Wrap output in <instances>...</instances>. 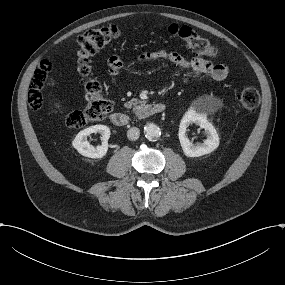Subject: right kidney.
I'll return each mask as SVG.
<instances>
[{
	"mask_svg": "<svg viewBox=\"0 0 285 285\" xmlns=\"http://www.w3.org/2000/svg\"><path fill=\"white\" fill-rule=\"evenodd\" d=\"M92 133H100L103 138L102 145L94 148L87 142V136ZM110 137V130L104 125H94L80 131L72 141V147L77 150V152L88 158L100 159L106 156L108 152L107 140Z\"/></svg>",
	"mask_w": 285,
	"mask_h": 285,
	"instance_id": "1",
	"label": "right kidney"
}]
</instances>
